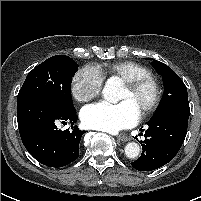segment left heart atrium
<instances>
[{"instance_id": "39dd6f15", "label": "left heart atrium", "mask_w": 201, "mask_h": 201, "mask_svg": "<svg viewBox=\"0 0 201 201\" xmlns=\"http://www.w3.org/2000/svg\"><path fill=\"white\" fill-rule=\"evenodd\" d=\"M139 113L129 101L116 104L99 102L81 110V121L87 128L116 133L135 125Z\"/></svg>"}]
</instances>
